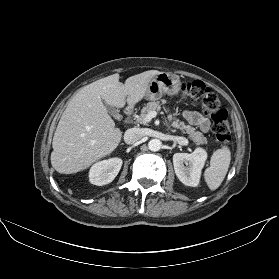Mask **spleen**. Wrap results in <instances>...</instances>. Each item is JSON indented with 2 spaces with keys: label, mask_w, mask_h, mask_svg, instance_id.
Instances as JSON below:
<instances>
[{
  "label": "spleen",
  "mask_w": 279,
  "mask_h": 279,
  "mask_svg": "<svg viewBox=\"0 0 279 279\" xmlns=\"http://www.w3.org/2000/svg\"><path fill=\"white\" fill-rule=\"evenodd\" d=\"M231 161V152L227 146L216 150L205 170L204 178L210 190H216L224 180Z\"/></svg>",
  "instance_id": "spleen-1"
}]
</instances>
